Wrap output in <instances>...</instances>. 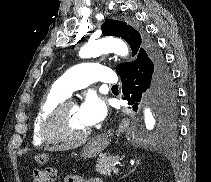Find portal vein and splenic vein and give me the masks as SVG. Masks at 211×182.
<instances>
[{
	"instance_id": "1",
	"label": "portal vein and splenic vein",
	"mask_w": 211,
	"mask_h": 182,
	"mask_svg": "<svg viewBox=\"0 0 211 182\" xmlns=\"http://www.w3.org/2000/svg\"><path fill=\"white\" fill-rule=\"evenodd\" d=\"M118 172H119V170L116 168V169L114 170V173L117 174Z\"/></svg>"
}]
</instances>
